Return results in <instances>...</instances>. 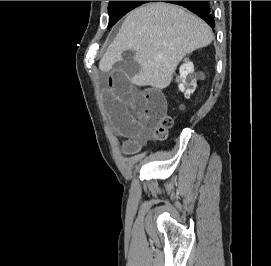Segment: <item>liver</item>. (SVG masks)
<instances>
[{
  "mask_svg": "<svg viewBox=\"0 0 271 266\" xmlns=\"http://www.w3.org/2000/svg\"><path fill=\"white\" fill-rule=\"evenodd\" d=\"M212 40L213 32L201 18L173 4L150 3L128 14L99 69L105 72V67L122 60L124 51L133 50L143 70L131 82L162 90L170 85L183 57Z\"/></svg>",
  "mask_w": 271,
  "mask_h": 266,
  "instance_id": "obj_1",
  "label": "liver"
}]
</instances>
